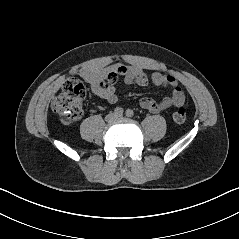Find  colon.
<instances>
[{
  "label": "colon",
  "instance_id": "1",
  "mask_svg": "<svg viewBox=\"0 0 239 239\" xmlns=\"http://www.w3.org/2000/svg\"><path fill=\"white\" fill-rule=\"evenodd\" d=\"M86 93V87L81 80L77 78L67 79L63 84L62 92L52 102V111L59 115L65 124L76 122L82 116V105ZM186 115L185 107L179 105L174 110L172 117L176 123L181 124L185 122Z\"/></svg>",
  "mask_w": 239,
  "mask_h": 239
}]
</instances>
